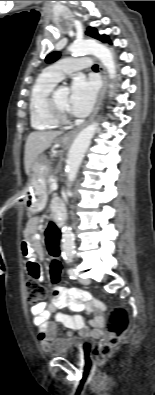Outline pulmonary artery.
<instances>
[{
    "instance_id": "e3ab8cb5",
    "label": "pulmonary artery",
    "mask_w": 155,
    "mask_h": 395,
    "mask_svg": "<svg viewBox=\"0 0 155 395\" xmlns=\"http://www.w3.org/2000/svg\"><path fill=\"white\" fill-rule=\"evenodd\" d=\"M91 66V60L87 57L66 58L49 66L46 73L56 81H61L66 75L76 71L87 69Z\"/></svg>"
}]
</instances>
